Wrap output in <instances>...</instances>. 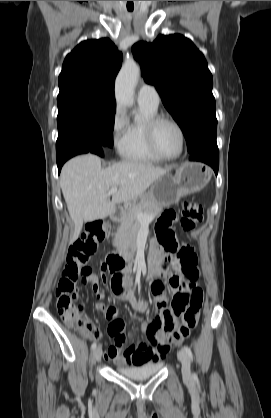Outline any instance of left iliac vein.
I'll list each match as a JSON object with an SVG mask.
<instances>
[{
	"mask_svg": "<svg viewBox=\"0 0 271 418\" xmlns=\"http://www.w3.org/2000/svg\"><path fill=\"white\" fill-rule=\"evenodd\" d=\"M178 359L181 362L182 365V376L185 380H191L192 374H191V363L189 356L185 352V350L180 349L177 353Z\"/></svg>",
	"mask_w": 271,
	"mask_h": 418,
	"instance_id": "left-iliac-vein-1",
	"label": "left iliac vein"
}]
</instances>
